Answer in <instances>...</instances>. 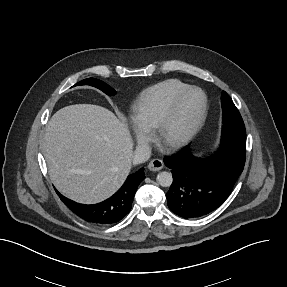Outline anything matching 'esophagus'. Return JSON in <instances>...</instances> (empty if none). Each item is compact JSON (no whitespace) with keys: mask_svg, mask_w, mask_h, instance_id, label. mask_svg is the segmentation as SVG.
<instances>
[{"mask_svg":"<svg viewBox=\"0 0 287 287\" xmlns=\"http://www.w3.org/2000/svg\"><path fill=\"white\" fill-rule=\"evenodd\" d=\"M163 168V161L160 159H153L148 164V169L151 171H159Z\"/></svg>","mask_w":287,"mask_h":287,"instance_id":"1","label":"esophagus"}]
</instances>
